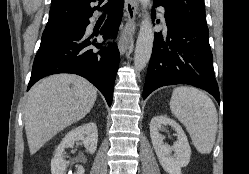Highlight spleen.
<instances>
[{
    "label": "spleen",
    "mask_w": 249,
    "mask_h": 174,
    "mask_svg": "<svg viewBox=\"0 0 249 174\" xmlns=\"http://www.w3.org/2000/svg\"><path fill=\"white\" fill-rule=\"evenodd\" d=\"M170 109L186 127L197 151L201 154L211 153L218 115L210 97L196 88L180 86L173 90Z\"/></svg>",
    "instance_id": "spleen-1"
}]
</instances>
